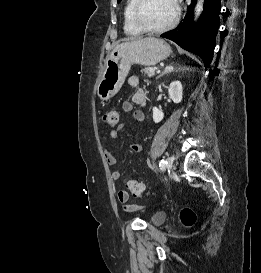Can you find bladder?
<instances>
[{
	"label": "bladder",
	"instance_id": "bladder-1",
	"mask_svg": "<svg viewBox=\"0 0 261 273\" xmlns=\"http://www.w3.org/2000/svg\"><path fill=\"white\" fill-rule=\"evenodd\" d=\"M164 220H165V214L162 212L155 213L151 218V222L154 225H159V224L163 223Z\"/></svg>",
	"mask_w": 261,
	"mask_h": 273
}]
</instances>
